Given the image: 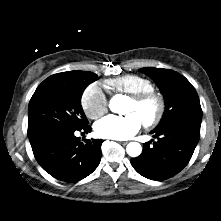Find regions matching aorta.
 I'll use <instances>...</instances> for the list:
<instances>
[{
    "mask_svg": "<svg viewBox=\"0 0 221 221\" xmlns=\"http://www.w3.org/2000/svg\"><path fill=\"white\" fill-rule=\"evenodd\" d=\"M116 103H117V97L115 96L110 101L109 107L111 110L113 111L115 110ZM126 152L131 157H137L141 154L142 147L138 142H130L126 147Z\"/></svg>",
    "mask_w": 221,
    "mask_h": 221,
    "instance_id": "obj_1",
    "label": "aorta"
}]
</instances>
